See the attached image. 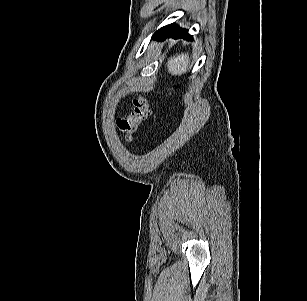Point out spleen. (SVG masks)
I'll return each mask as SVG.
<instances>
[{
    "mask_svg": "<svg viewBox=\"0 0 307 301\" xmlns=\"http://www.w3.org/2000/svg\"><path fill=\"white\" fill-rule=\"evenodd\" d=\"M190 64V58L188 53L176 54L170 57L167 61L168 72L172 75H182L187 72Z\"/></svg>",
    "mask_w": 307,
    "mask_h": 301,
    "instance_id": "obj_1",
    "label": "spleen"
}]
</instances>
